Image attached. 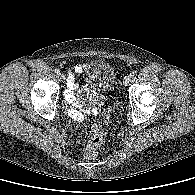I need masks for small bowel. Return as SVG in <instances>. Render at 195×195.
Listing matches in <instances>:
<instances>
[{
  "label": "small bowel",
  "instance_id": "small-bowel-1",
  "mask_svg": "<svg viewBox=\"0 0 195 195\" xmlns=\"http://www.w3.org/2000/svg\"><path fill=\"white\" fill-rule=\"evenodd\" d=\"M91 69V66L89 64H83V65H77L74 67V69L68 73V79H67V87H68V92L66 93V98L70 103H74V96H73V91L78 88V76L81 74L83 71L89 73ZM69 113L71 117L77 121H82L84 119V114L75 109L71 108L69 110ZM86 113L95 115L98 113L97 108H90L86 110Z\"/></svg>",
  "mask_w": 195,
  "mask_h": 195
}]
</instances>
